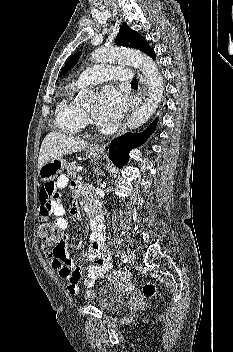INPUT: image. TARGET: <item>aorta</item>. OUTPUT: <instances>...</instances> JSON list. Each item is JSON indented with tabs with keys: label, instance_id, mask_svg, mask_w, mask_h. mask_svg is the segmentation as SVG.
Returning a JSON list of instances; mask_svg holds the SVG:
<instances>
[{
	"label": "aorta",
	"instance_id": "1",
	"mask_svg": "<svg viewBox=\"0 0 233 352\" xmlns=\"http://www.w3.org/2000/svg\"><path fill=\"white\" fill-rule=\"evenodd\" d=\"M95 62L118 61L134 65L147 80L148 94L143 105L131 114L127 121L129 128H137L150 119L155 113L163 97V79L152 59L135 50L102 47L91 54ZM94 93L88 89L78 92L77 101L87 103L94 99Z\"/></svg>",
	"mask_w": 233,
	"mask_h": 352
}]
</instances>
